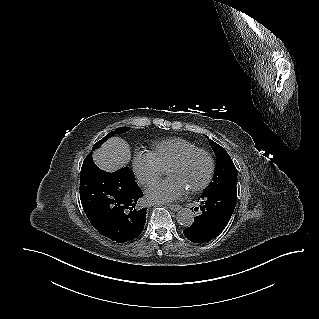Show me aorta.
<instances>
[{
  "label": "aorta",
  "mask_w": 319,
  "mask_h": 319,
  "mask_svg": "<svg viewBox=\"0 0 319 319\" xmlns=\"http://www.w3.org/2000/svg\"><path fill=\"white\" fill-rule=\"evenodd\" d=\"M177 221L184 227H189L194 222V212L189 208H182L177 214Z\"/></svg>",
  "instance_id": "762f6f07"
}]
</instances>
